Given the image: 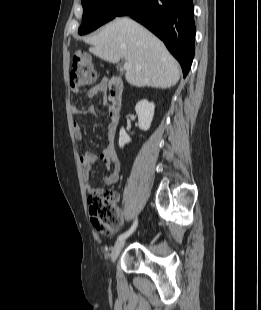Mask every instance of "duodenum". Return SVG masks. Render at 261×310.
<instances>
[{
  "mask_svg": "<svg viewBox=\"0 0 261 310\" xmlns=\"http://www.w3.org/2000/svg\"><path fill=\"white\" fill-rule=\"evenodd\" d=\"M109 96L113 103L110 110V121L115 129L119 119V106L121 102L123 83L120 77L114 76L108 81Z\"/></svg>",
  "mask_w": 261,
  "mask_h": 310,
  "instance_id": "duodenum-1",
  "label": "duodenum"
}]
</instances>
